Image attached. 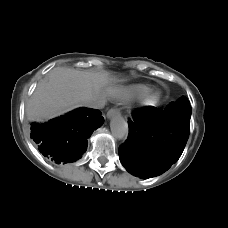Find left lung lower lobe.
Returning a JSON list of instances; mask_svg holds the SVG:
<instances>
[{
  "mask_svg": "<svg viewBox=\"0 0 228 228\" xmlns=\"http://www.w3.org/2000/svg\"><path fill=\"white\" fill-rule=\"evenodd\" d=\"M191 106L170 103L161 113L155 107L136 112L129 136L119 147L122 165L141 178L168 170L181 156L190 133Z\"/></svg>",
  "mask_w": 228,
  "mask_h": 228,
  "instance_id": "obj_1",
  "label": "left lung lower lobe"
}]
</instances>
